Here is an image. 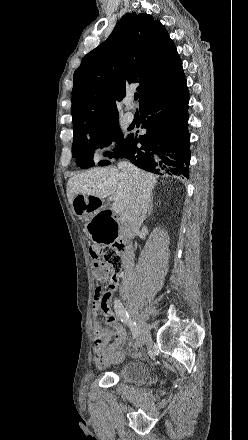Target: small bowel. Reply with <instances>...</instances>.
<instances>
[{
    "instance_id": "c3829d8e",
    "label": "small bowel",
    "mask_w": 248,
    "mask_h": 440,
    "mask_svg": "<svg viewBox=\"0 0 248 440\" xmlns=\"http://www.w3.org/2000/svg\"><path fill=\"white\" fill-rule=\"evenodd\" d=\"M118 272H122V267H116L111 274L113 277L109 279V290L101 291L108 296L106 303L100 299L94 300L92 305V315L95 318L99 311L104 314L107 323L113 328L105 329L101 324L94 320L92 324V332L94 338L93 359L100 368L106 367L111 363L120 361L123 354L118 349L127 342V333L125 328L118 322L115 313L111 309V297L118 283ZM114 337V342L110 344Z\"/></svg>"
}]
</instances>
